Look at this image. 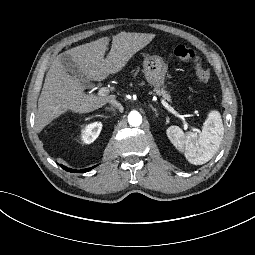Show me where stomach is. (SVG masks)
Wrapping results in <instances>:
<instances>
[{"instance_id":"stomach-1","label":"stomach","mask_w":255,"mask_h":255,"mask_svg":"<svg viewBox=\"0 0 255 255\" xmlns=\"http://www.w3.org/2000/svg\"><path fill=\"white\" fill-rule=\"evenodd\" d=\"M166 70L164 65L144 67L146 81L155 91H162L164 89Z\"/></svg>"}]
</instances>
